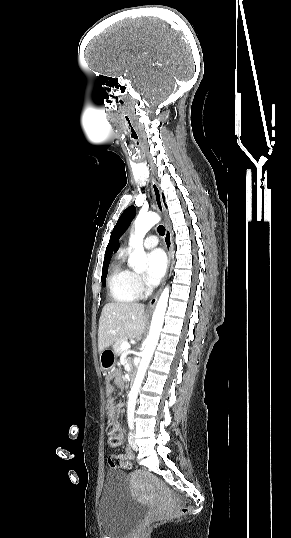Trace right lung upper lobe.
Listing matches in <instances>:
<instances>
[{
	"mask_svg": "<svg viewBox=\"0 0 291 538\" xmlns=\"http://www.w3.org/2000/svg\"><path fill=\"white\" fill-rule=\"evenodd\" d=\"M118 247H119V243H115L114 236H112V234H111L110 241H109L108 246L106 248L104 262L110 261L111 254L114 251H116L118 249Z\"/></svg>",
	"mask_w": 291,
	"mask_h": 538,
	"instance_id": "cb5924a9",
	"label": "right lung upper lobe"
}]
</instances>
